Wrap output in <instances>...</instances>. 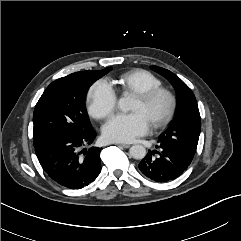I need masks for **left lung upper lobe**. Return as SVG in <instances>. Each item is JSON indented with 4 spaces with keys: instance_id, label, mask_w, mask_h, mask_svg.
<instances>
[{
    "instance_id": "5c2ea615",
    "label": "left lung upper lobe",
    "mask_w": 241,
    "mask_h": 241,
    "mask_svg": "<svg viewBox=\"0 0 241 241\" xmlns=\"http://www.w3.org/2000/svg\"><path fill=\"white\" fill-rule=\"evenodd\" d=\"M153 69L170 81L179 99L176 119L159 136L158 143L172 147L191 162L196 152L201 129V119L196 98L191 89L174 73L158 66H153Z\"/></svg>"
}]
</instances>
